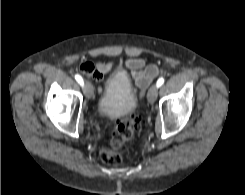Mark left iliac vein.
Listing matches in <instances>:
<instances>
[{
	"label": "left iliac vein",
	"mask_w": 245,
	"mask_h": 195,
	"mask_svg": "<svg viewBox=\"0 0 245 195\" xmlns=\"http://www.w3.org/2000/svg\"><path fill=\"white\" fill-rule=\"evenodd\" d=\"M158 94L157 85H152L148 91L147 98L150 103H154Z\"/></svg>",
	"instance_id": "4c4485c4"
}]
</instances>
